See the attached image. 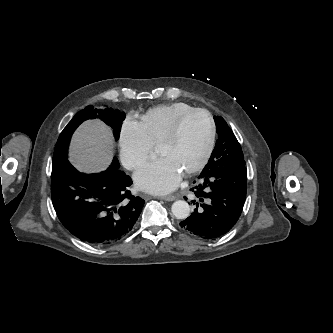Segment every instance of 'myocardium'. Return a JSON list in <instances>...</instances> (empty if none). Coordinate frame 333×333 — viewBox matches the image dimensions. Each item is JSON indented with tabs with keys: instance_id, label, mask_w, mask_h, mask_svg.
<instances>
[{
	"instance_id": "myocardium-1",
	"label": "myocardium",
	"mask_w": 333,
	"mask_h": 333,
	"mask_svg": "<svg viewBox=\"0 0 333 333\" xmlns=\"http://www.w3.org/2000/svg\"><path fill=\"white\" fill-rule=\"evenodd\" d=\"M197 113H202L205 114L208 118L209 121V138H208V142L205 148V151L202 155V157L200 158V160L190 169H188L187 171L184 172L185 176H191L197 172H199L200 170H202L206 164L208 163L214 147H215V141H216V123L214 120L213 115L211 114L210 111H208L207 109L204 108H193L192 110H189L183 114H181L171 125V127L168 129V131L166 132V134L162 137V139L160 140V142L158 143V147H161L163 145L169 144L171 142H173L174 140H176V138L179 135L180 129L183 125V123L185 122V120L187 118H189L190 116L197 114Z\"/></svg>"
}]
</instances>
